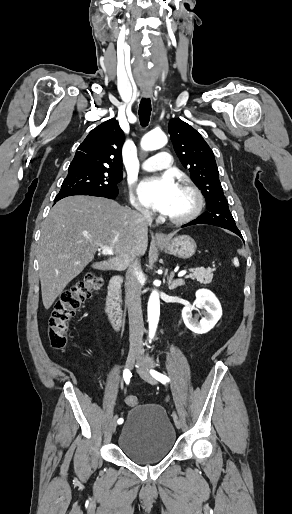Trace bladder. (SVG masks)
<instances>
[{"mask_svg": "<svg viewBox=\"0 0 292 514\" xmlns=\"http://www.w3.org/2000/svg\"><path fill=\"white\" fill-rule=\"evenodd\" d=\"M176 443V432L163 407L133 406L121 427L118 447L131 461L155 463L166 458Z\"/></svg>", "mask_w": 292, "mask_h": 514, "instance_id": "31cf9c89", "label": "bladder"}]
</instances>
